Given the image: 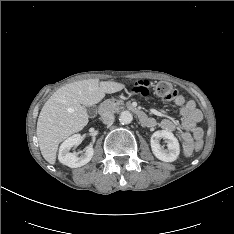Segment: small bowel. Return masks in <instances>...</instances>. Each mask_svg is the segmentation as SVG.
<instances>
[{
  "label": "small bowel",
  "mask_w": 234,
  "mask_h": 234,
  "mask_svg": "<svg viewBox=\"0 0 234 234\" xmlns=\"http://www.w3.org/2000/svg\"><path fill=\"white\" fill-rule=\"evenodd\" d=\"M175 105L180 106L181 122L180 126L183 130L182 144L185 153H189L191 149L192 139H198L202 136V129L198 126V123L202 119L201 111L196 107L194 101H186L185 98L175 92L171 98ZM147 127L158 126L165 131H174L179 126V122L174 118H165L157 122L155 119L150 118V122Z\"/></svg>",
  "instance_id": "obj_1"
}]
</instances>
